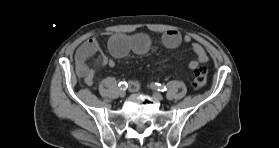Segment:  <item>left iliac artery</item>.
<instances>
[{
	"instance_id": "obj_1",
	"label": "left iliac artery",
	"mask_w": 279,
	"mask_h": 148,
	"mask_svg": "<svg viewBox=\"0 0 279 148\" xmlns=\"http://www.w3.org/2000/svg\"><path fill=\"white\" fill-rule=\"evenodd\" d=\"M151 88L156 89L161 92H164L167 90L166 86L164 84H160V83H152Z\"/></svg>"
}]
</instances>
